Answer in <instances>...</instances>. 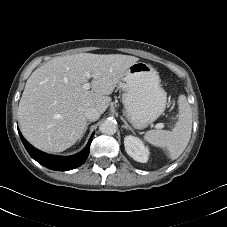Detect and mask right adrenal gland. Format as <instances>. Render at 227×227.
Wrapping results in <instances>:
<instances>
[{
    "mask_svg": "<svg viewBox=\"0 0 227 227\" xmlns=\"http://www.w3.org/2000/svg\"><path fill=\"white\" fill-rule=\"evenodd\" d=\"M89 124H90V123H87V124H86L85 129H84V131H83V134H82V136L80 137L79 140H81L82 137L84 136V134L86 133Z\"/></svg>",
    "mask_w": 227,
    "mask_h": 227,
    "instance_id": "2a0ac1e0",
    "label": "right adrenal gland"
}]
</instances>
